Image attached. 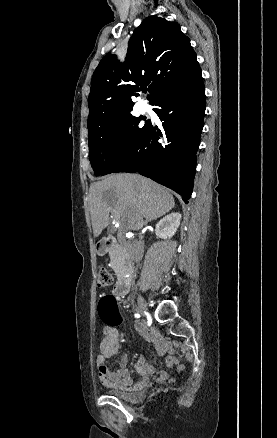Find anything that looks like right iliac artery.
I'll return each instance as SVG.
<instances>
[{"label": "right iliac artery", "instance_id": "82829eb1", "mask_svg": "<svg viewBox=\"0 0 277 438\" xmlns=\"http://www.w3.org/2000/svg\"><path fill=\"white\" fill-rule=\"evenodd\" d=\"M135 317L139 318V317H140V314H139V313L135 314Z\"/></svg>", "mask_w": 277, "mask_h": 438}]
</instances>
